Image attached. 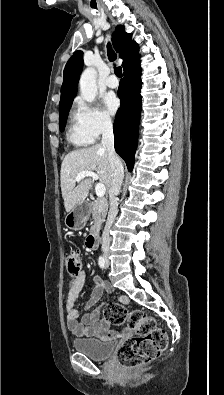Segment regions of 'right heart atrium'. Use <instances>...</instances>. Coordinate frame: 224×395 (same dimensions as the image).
I'll list each match as a JSON object with an SVG mask.
<instances>
[{"label":"right heart atrium","mask_w":224,"mask_h":395,"mask_svg":"<svg viewBox=\"0 0 224 395\" xmlns=\"http://www.w3.org/2000/svg\"><path fill=\"white\" fill-rule=\"evenodd\" d=\"M74 117L81 131L92 140L98 139L113 127L112 119L100 107L86 104L82 100L75 102Z\"/></svg>","instance_id":"d8ad5b80"}]
</instances>
